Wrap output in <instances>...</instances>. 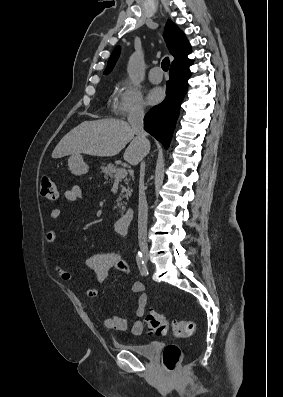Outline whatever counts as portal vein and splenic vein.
<instances>
[{"mask_svg":"<svg viewBox=\"0 0 283 397\" xmlns=\"http://www.w3.org/2000/svg\"><path fill=\"white\" fill-rule=\"evenodd\" d=\"M127 176V171L124 168H121L118 170L116 174V180L122 179Z\"/></svg>","mask_w":283,"mask_h":397,"instance_id":"obj_1","label":"portal vein and splenic vein"}]
</instances>
